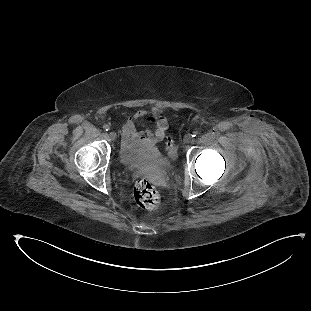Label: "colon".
Returning <instances> with one entry per match:
<instances>
[{"instance_id":"colon-1","label":"colon","mask_w":311,"mask_h":311,"mask_svg":"<svg viewBox=\"0 0 311 311\" xmlns=\"http://www.w3.org/2000/svg\"><path fill=\"white\" fill-rule=\"evenodd\" d=\"M165 151L170 155L175 151L171 138L166 140ZM134 197L136 203L146 210H156L161 202L158 190L145 178H140L135 182Z\"/></svg>"}]
</instances>
